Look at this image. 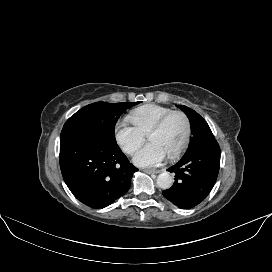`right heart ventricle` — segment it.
I'll use <instances>...</instances> for the list:
<instances>
[{
  "mask_svg": "<svg viewBox=\"0 0 272 272\" xmlns=\"http://www.w3.org/2000/svg\"><path fill=\"white\" fill-rule=\"evenodd\" d=\"M172 111L166 106L147 104L133 109L128 115V120L143 134H147L159 119Z\"/></svg>",
  "mask_w": 272,
  "mask_h": 272,
  "instance_id": "1",
  "label": "right heart ventricle"
}]
</instances>
